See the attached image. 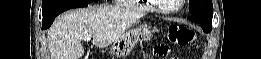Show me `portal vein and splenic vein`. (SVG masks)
Listing matches in <instances>:
<instances>
[{
	"label": "portal vein and splenic vein",
	"instance_id": "portal-vein-and-splenic-vein-1",
	"mask_svg": "<svg viewBox=\"0 0 261 59\" xmlns=\"http://www.w3.org/2000/svg\"><path fill=\"white\" fill-rule=\"evenodd\" d=\"M91 39L90 35L85 36L84 40L89 41Z\"/></svg>",
	"mask_w": 261,
	"mask_h": 59
}]
</instances>
